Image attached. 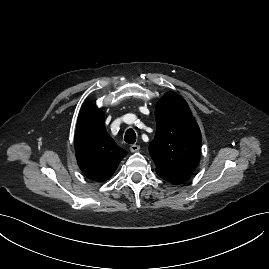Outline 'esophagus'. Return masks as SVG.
Listing matches in <instances>:
<instances>
[{
  "mask_svg": "<svg viewBox=\"0 0 269 269\" xmlns=\"http://www.w3.org/2000/svg\"><path fill=\"white\" fill-rule=\"evenodd\" d=\"M139 149H140L139 145L133 144L130 146L131 152H137V151H139Z\"/></svg>",
  "mask_w": 269,
  "mask_h": 269,
  "instance_id": "esophagus-1",
  "label": "esophagus"
}]
</instances>
